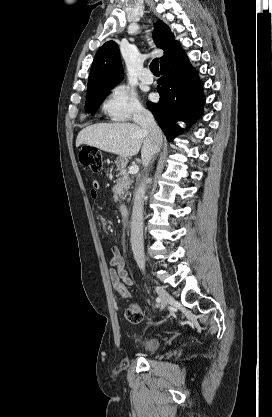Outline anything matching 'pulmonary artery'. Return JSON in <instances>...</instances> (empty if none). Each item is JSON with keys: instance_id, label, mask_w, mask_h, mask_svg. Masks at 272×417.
<instances>
[{"instance_id": "1", "label": "pulmonary artery", "mask_w": 272, "mask_h": 417, "mask_svg": "<svg viewBox=\"0 0 272 417\" xmlns=\"http://www.w3.org/2000/svg\"><path fill=\"white\" fill-rule=\"evenodd\" d=\"M140 80L145 84H151L153 83V76L148 69H145L140 76Z\"/></svg>"}]
</instances>
